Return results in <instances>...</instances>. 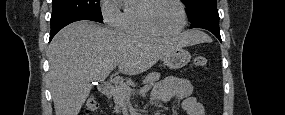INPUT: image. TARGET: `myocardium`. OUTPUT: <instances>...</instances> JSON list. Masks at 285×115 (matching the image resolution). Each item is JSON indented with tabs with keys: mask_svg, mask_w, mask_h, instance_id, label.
Returning a JSON list of instances; mask_svg holds the SVG:
<instances>
[{
	"mask_svg": "<svg viewBox=\"0 0 285 115\" xmlns=\"http://www.w3.org/2000/svg\"><path fill=\"white\" fill-rule=\"evenodd\" d=\"M160 1H164V0H149L148 3L145 5L144 10H143V20H144L145 25L147 26V28L151 32H153L154 34H156L158 36L169 37V36H176V35L180 34L185 29V27L187 25V12H186V9H185L183 2L181 0H170L179 6L182 21H181V24L177 30L172 31V32H166V31H163L160 28H158L154 24V22L152 21V18H151V13H152L153 9L155 8V6Z\"/></svg>",
	"mask_w": 285,
	"mask_h": 115,
	"instance_id": "1",
	"label": "myocardium"
}]
</instances>
